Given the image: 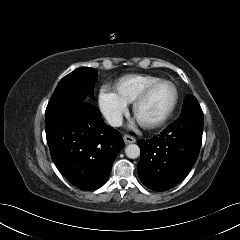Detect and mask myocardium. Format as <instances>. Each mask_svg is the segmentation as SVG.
I'll return each mask as SVG.
<instances>
[{"mask_svg":"<svg viewBox=\"0 0 240 240\" xmlns=\"http://www.w3.org/2000/svg\"><path fill=\"white\" fill-rule=\"evenodd\" d=\"M161 86H171L174 89V99H173V102H172L171 106L161 117H159V118H157L153 121L142 120L138 115L139 107L149 98V96L156 89H158ZM179 98H180V93H179V90H178L177 86L171 81L162 80V81H159V82L154 83V84L150 85L149 87H147L134 100V102H133V113H134L135 117L137 118V120L140 122V124H142L144 127L157 128V127L163 125L171 117V115L173 114V112L175 111V109L178 105Z\"/></svg>","mask_w":240,"mask_h":240,"instance_id":"obj_1","label":"myocardium"}]
</instances>
